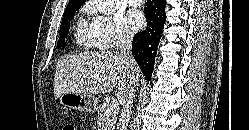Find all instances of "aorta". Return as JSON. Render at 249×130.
<instances>
[{"label":"aorta","instance_id":"762f6f07","mask_svg":"<svg viewBox=\"0 0 249 130\" xmlns=\"http://www.w3.org/2000/svg\"><path fill=\"white\" fill-rule=\"evenodd\" d=\"M98 11L104 15L111 14L115 5V0H95Z\"/></svg>","mask_w":249,"mask_h":130}]
</instances>
